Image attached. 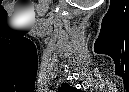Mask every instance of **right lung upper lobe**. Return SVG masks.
<instances>
[{"mask_svg": "<svg viewBox=\"0 0 129 92\" xmlns=\"http://www.w3.org/2000/svg\"><path fill=\"white\" fill-rule=\"evenodd\" d=\"M77 89L74 87H71L70 85L63 83L61 87L59 88V91H69V92H76Z\"/></svg>", "mask_w": 129, "mask_h": 92, "instance_id": "obj_1", "label": "right lung upper lobe"}]
</instances>
